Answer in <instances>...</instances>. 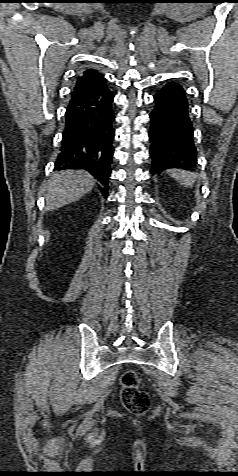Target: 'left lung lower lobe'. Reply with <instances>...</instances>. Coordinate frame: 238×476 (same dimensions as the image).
Returning <instances> with one entry per match:
<instances>
[{
    "mask_svg": "<svg viewBox=\"0 0 238 476\" xmlns=\"http://www.w3.org/2000/svg\"><path fill=\"white\" fill-rule=\"evenodd\" d=\"M154 103L149 130L150 172L154 174L167 168L194 166L197 151L185 90L177 82H168L154 95Z\"/></svg>",
    "mask_w": 238,
    "mask_h": 476,
    "instance_id": "0a47b994",
    "label": "left lung lower lobe"
}]
</instances>
